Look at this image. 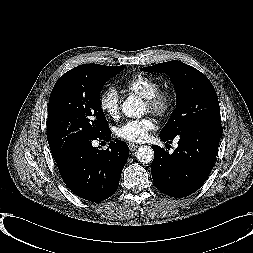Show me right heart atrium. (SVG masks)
Listing matches in <instances>:
<instances>
[{"label": "right heart atrium", "mask_w": 253, "mask_h": 253, "mask_svg": "<svg viewBox=\"0 0 253 253\" xmlns=\"http://www.w3.org/2000/svg\"><path fill=\"white\" fill-rule=\"evenodd\" d=\"M101 110L108 116L116 118L120 113V97L116 89L108 88L99 97Z\"/></svg>", "instance_id": "1"}]
</instances>
